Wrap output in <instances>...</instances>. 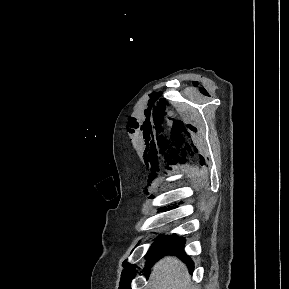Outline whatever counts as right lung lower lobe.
Returning <instances> with one entry per match:
<instances>
[{
    "instance_id": "obj_1",
    "label": "right lung lower lobe",
    "mask_w": 289,
    "mask_h": 289,
    "mask_svg": "<svg viewBox=\"0 0 289 289\" xmlns=\"http://www.w3.org/2000/svg\"><path fill=\"white\" fill-rule=\"evenodd\" d=\"M184 239L183 238H176L168 237L165 239H160L153 244L151 249L147 254V258L149 261H156L161 257L163 254L169 253H178L180 249L183 248ZM189 264V262H187Z\"/></svg>"
}]
</instances>
